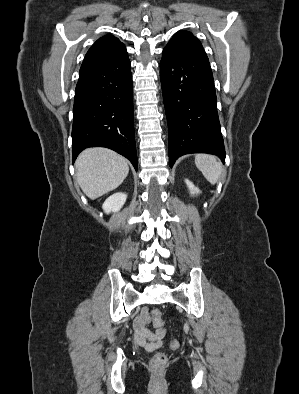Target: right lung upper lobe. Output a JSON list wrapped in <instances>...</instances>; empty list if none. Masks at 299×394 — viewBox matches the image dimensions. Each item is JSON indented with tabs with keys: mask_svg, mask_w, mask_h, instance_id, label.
<instances>
[{
	"mask_svg": "<svg viewBox=\"0 0 299 394\" xmlns=\"http://www.w3.org/2000/svg\"><path fill=\"white\" fill-rule=\"evenodd\" d=\"M126 47L114 36L105 35L99 38L88 50L82 66L125 58Z\"/></svg>",
	"mask_w": 299,
	"mask_h": 394,
	"instance_id": "cb5924a9",
	"label": "right lung upper lobe"
}]
</instances>
